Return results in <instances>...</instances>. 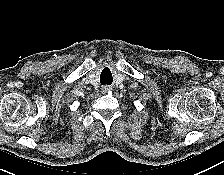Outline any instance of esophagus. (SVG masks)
<instances>
[{"instance_id":"esophagus-1","label":"esophagus","mask_w":224,"mask_h":175,"mask_svg":"<svg viewBox=\"0 0 224 175\" xmlns=\"http://www.w3.org/2000/svg\"><path fill=\"white\" fill-rule=\"evenodd\" d=\"M112 90V88L110 87V86H104V87H102V93H107V92H109V91H111Z\"/></svg>"}]
</instances>
